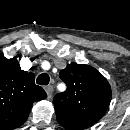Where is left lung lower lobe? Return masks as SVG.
I'll return each mask as SVG.
<instances>
[{
	"label": "left lung lower lobe",
	"instance_id": "0a47b994",
	"mask_svg": "<svg viewBox=\"0 0 130 130\" xmlns=\"http://www.w3.org/2000/svg\"><path fill=\"white\" fill-rule=\"evenodd\" d=\"M55 113L58 123L68 130H83L96 123L85 117L69 113L62 108H55Z\"/></svg>",
	"mask_w": 130,
	"mask_h": 130
}]
</instances>
